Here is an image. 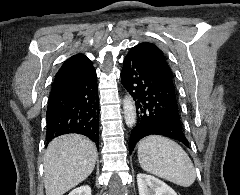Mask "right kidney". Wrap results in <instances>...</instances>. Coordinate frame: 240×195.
I'll return each mask as SVG.
<instances>
[{"mask_svg":"<svg viewBox=\"0 0 240 195\" xmlns=\"http://www.w3.org/2000/svg\"><path fill=\"white\" fill-rule=\"evenodd\" d=\"M68 195H91V187L89 185H80V187L72 189Z\"/></svg>","mask_w":240,"mask_h":195,"instance_id":"right-kidney-1","label":"right kidney"}]
</instances>
